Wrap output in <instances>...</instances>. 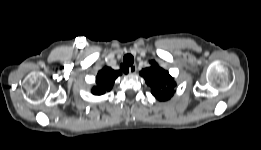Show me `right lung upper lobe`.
I'll use <instances>...</instances> for the list:
<instances>
[{
  "instance_id": "cb5924a9",
  "label": "right lung upper lobe",
  "mask_w": 261,
  "mask_h": 150,
  "mask_svg": "<svg viewBox=\"0 0 261 150\" xmlns=\"http://www.w3.org/2000/svg\"><path fill=\"white\" fill-rule=\"evenodd\" d=\"M121 75L120 71L112 70L110 67H105L98 72L96 77L97 86L93 87L92 93L102 95L106 91H110L115 79Z\"/></svg>"
}]
</instances>
